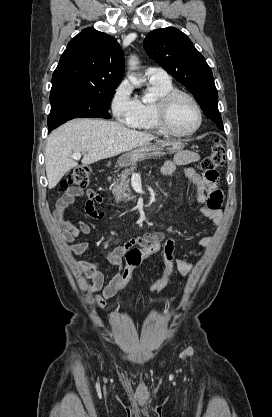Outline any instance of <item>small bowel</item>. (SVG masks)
Returning <instances> with one entry per match:
<instances>
[{"label": "small bowel", "instance_id": "obj_1", "mask_svg": "<svg viewBox=\"0 0 272 417\" xmlns=\"http://www.w3.org/2000/svg\"><path fill=\"white\" fill-rule=\"evenodd\" d=\"M200 160V155L193 151H180L173 159L166 161L161 172L165 176L172 175L176 172L178 166H186L193 162ZM183 175L196 186V201L200 204V213L211 220L214 224H219L221 221V204L223 195L218 188L219 174L218 172L205 173L203 175L196 172L193 168H185ZM78 197H86L85 212L93 219H100L103 213L100 209L102 197L93 189H82L78 187H69L65 190L63 195L58 199L54 209V218L59 226L62 238L68 243V251L73 255H82L91 250V245L85 241H77L82 234H89L91 228L88 224L82 221H72L66 218L67 208L75 202ZM165 237L161 231H150L140 236L134 237L126 241L123 245L114 247L105 256L104 260L115 267L116 270L112 273L109 283L105 286L104 275L100 271V259L94 261H79L77 263L82 275L91 281L87 284L88 292L95 293L103 291L102 295L93 297V302L102 307L105 301L113 297L116 293V286L119 282L123 271L124 262L123 256L132 247L140 242L151 240L154 238ZM200 247H208L212 243L211 237H201L196 241ZM174 266L181 276H187L193 269V265L183 258H177Z\"/></svg>", "mask_w": 272, "mask_h": 417}]
</instances>
